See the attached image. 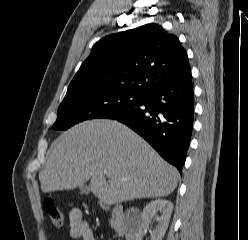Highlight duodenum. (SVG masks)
<instances>
[{"label":"duodenum","instance_id":"410a0bca","mask_svg":"<svg viewBox=\"0 0 248 240\" xmlns=\"http://www.w3.org/2000/svg\"><path fill=\"white\" fill-rule=\"evenodd\" d=\"M110 210L111 228L118 234H124L126 230V221L124 219V209L121 205L108 207Z\"/></svg>","mask_w":248,"mask_h":240}]
</instances>
